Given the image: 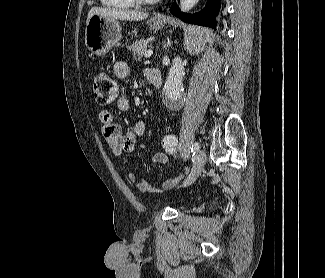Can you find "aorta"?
<instances>
[{
	"label": "aorta",
	"mask_w": 325,
	"mask_h": 278,
	"mask_svg": "<svg viewBox=\"0 0 325 278\" xmlns=\"http://www.w3.org/2000/svg\"><path fill=\"white\" fill-rule=\"evenodd\" d=\"M199 0H180V8L184 12L190 11ZM183 75L184 67L180 57L176 56L173 59L172 66L169 69L164 90L169 102L177 103L183 94Z\"/></svg>",
	"instance_id": "1"
}]
</instances>
